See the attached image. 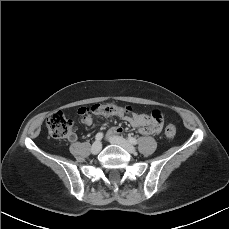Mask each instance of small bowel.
<instances>
[{"instance_id":"1","label":"small bowel","mask_w":229,"mask_h":229,"mask_svg":"<svg viewBox=\"0 0 229 229\" xmlns=\"http://www.w3.org/2000/svg\"><path fill=\"white\" fill-rule=\"evenodd\" d=\"M119 117L125 121H127L129 124H131L134 127H139V132L143 135H148L151 133H154L155 131L147 128L146 125L149 123L148 122V115L144 113H138L134 112L131 114H124L121 113ZM83 123L86 126H91L93 124V119L90 116H87L83 119ZM122 132V128L118 126H112L108 130V136H114ZM71 139H75V136L72 135Z\"/></svg>"}]
</instances>
